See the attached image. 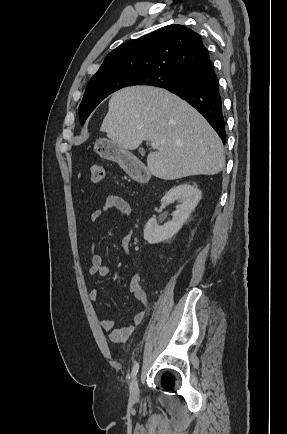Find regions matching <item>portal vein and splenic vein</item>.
Segmentation results:
<instances>
[{"label":"portal vein and splenic vein","mask_w":287,"mask_h":434,"mask_svg":"<svg viewBox=\"0 0 287 434\" xmlns=\"http://www.w3.org/2000/svg\"><path fill=\"white\" fill-rule=\"evenodd\" d=\"M151 147L154 148V149H158L159 143L155 142V141H151Z\"/></svg>","instance_id":"obj_1"}]
</instances>
